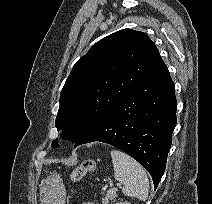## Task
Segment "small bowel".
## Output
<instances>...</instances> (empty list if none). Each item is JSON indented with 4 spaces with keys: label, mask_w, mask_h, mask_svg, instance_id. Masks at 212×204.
Segmentation results:
<instances>
[{
    "label": "small bowel",
    "mask_w": 212,
    "mask_h": 204,
    "mask_svg": "<svg viewBox=\"0 0 212 204\" xmlns=\"http://www.w3.org/2000/svg\"><path fill=\"white\" fill-rule=\"evenodd\" d=\"M84 204H93V203H91V202H87V203H84Z\"/></svg>",
    "instance_id": "obj_1"
}]
</instances>
